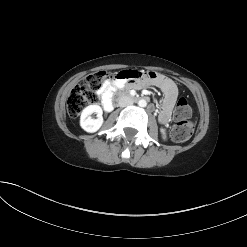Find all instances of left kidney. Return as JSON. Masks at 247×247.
<instances>
[{
  "instance_id": "5707ae66",
  "label": "left kidney",
  "mask_w": 247,
  "mask_h": 247,
  "mask_svg": "<svg viewBox=\"0 0 247 247\" xmlns=\"http://www.w3.org/2000/svg\"><path fill=\"white\" fill-rule=\"evenodd\" d=\"M161 132H162V134H163V138H165V137H166L165 130H164V129H161Z\"/></svg>"
}]
</instances>
